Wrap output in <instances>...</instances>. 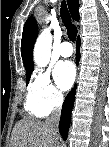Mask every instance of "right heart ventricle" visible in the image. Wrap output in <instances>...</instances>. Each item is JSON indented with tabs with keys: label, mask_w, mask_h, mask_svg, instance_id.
<instances>
[{
	"label": "right heart ventricle",
	"mask_w": 109,
	"mask_h": 147,
	"mask_svg": "<svg viewBox=\"0 0 109 147\" xmlns=\"http://www.w3.org/2000/svg\"><path fill=\"white\" fill-rule=\"evenodd\" d=\"M26 108L29 113H31L32 115H34L36 117L44 116L42 114L41 110L39 109V107L37 105H35L34 103L30 102L29 100H27V102H26Z\"/></svg>",
	"instance_id": "obj_1"
}]
</instances>
